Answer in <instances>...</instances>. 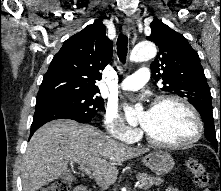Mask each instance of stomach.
<instances>
[{"instance_id":"1","label":"stomach","mask_w":221,"mask_h":191,"mask_svg":"<svg viewBox=\"0 0 221 191\" xmlns=\"http://www.w3.org/2000/svg\"><path fill=\"white\" fill-rule=\"evenodd\" d=\"M142 162L157 175L168 173L174 166L172 156L163 150L152 152L142 158Z\"/></svg>"}]
</instances>
